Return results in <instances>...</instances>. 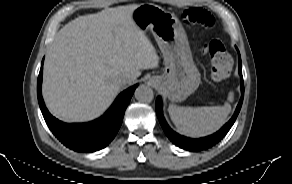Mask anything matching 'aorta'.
Returning a JSON list of instances; mask_svg holds the SVG:
<instances>
[{
	"label": "aorta",
	"mask_w": 292,
	"mask_h": 184,
	"mask_svg": "<svg viewBox=\"0 0 292 184\" xmlns=\"http://www.w3.org/2000/svg\"><path fill=\"white\" fill-rule=\"evenodd\" d=\"M136 100L142 103L151 102L154 98L153 90L145 85H140L134 92Z\"/></svg>",
	"instance_id": "aorta-1"
}]
</instances>
